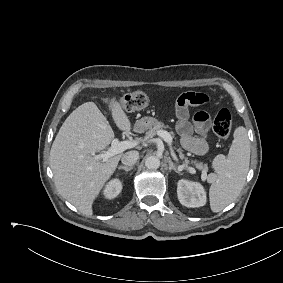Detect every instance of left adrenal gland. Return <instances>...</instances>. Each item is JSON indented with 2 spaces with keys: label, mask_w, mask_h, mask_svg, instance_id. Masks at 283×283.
<instances>
[{
  "label": "left adrenal gland",
  "mask_w": 283,
  "mask_h": 283,
  "mask_svg": "<svg viewBox=\"0 0 283 283\" xmlns=\"http://www.w3.org/2000/svg\"><path fill=\"white\" fill-rule=\"evenodd\" d=\"M167 162H168V165H169V171L173 170L177 174H182L181 170L176 168V166L174 165V163L172 162V160L170 158H167Z\"/></svg>",
  "instance_id": "1"
}]
</instances>
